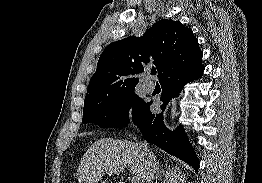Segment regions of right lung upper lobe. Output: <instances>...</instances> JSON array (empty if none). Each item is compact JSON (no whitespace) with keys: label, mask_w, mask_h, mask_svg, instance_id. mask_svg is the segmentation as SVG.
Returning a JSON list of instances; mask_svg holds the SVG:
<instances>
[{"label":"right lung upper lobe","mask_w":262,"mask_h":183,"mask_svg":"<svg viewBox=\"0 0 262 183\" xmlns=\"http://www.w3.org/2000/svg\"><path fill=\"white\" fill-rule=\"evenodd\" d=\"M201 61L202 52L192 29L179 21L162 19L142 37L130 36L104 49L84 104L135 89L139 82L137 74L149 65L156 67L162 82Z\"/></svg>","instance_id":"right-lung-upper-lobe-1"}]
</instances>
